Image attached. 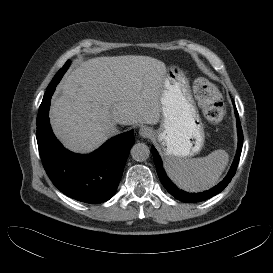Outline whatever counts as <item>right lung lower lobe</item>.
<instances>
[{"label":"right lung lower lobe","instance_id":"obj_1","mask_svg":"<svg viewBox=\"0 0 273 273\" xmlns=\"http://www.w3.org/2000/svg\"><path fill=\"white\" fill-rule=\"evenodd\" d=\"M55 88L43 97L37 116V143L44 169L52 183L65 195L85 203L109 200L121 179L133 130L115 136L88 155L63 148L49 123V108Z\"/></svg>","mask_w":273,"mask_h":273}]
</instances>
